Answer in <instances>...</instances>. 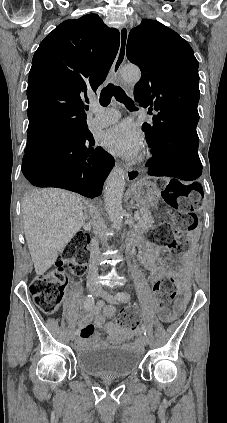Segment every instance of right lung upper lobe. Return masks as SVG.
Wrapping results in <instances>:
<instances>
[{"instance_id":"right-lung-upper-lobe-1","label":"right lung upper lobe","mask_w":227,"mask_h":423,"mask_svg":"<svg viewBox=\"0 0 227 423\" xmlns=\"http://www.w3.org/2000/svg\"><path fill=\"white\" fill-rule=\"evenodd\" d=\"M119 44V32L96 14L64 21L40 43L28 79L25 153L88 129L84 93L105 81Z\"/></svg>"}]
</instances>
